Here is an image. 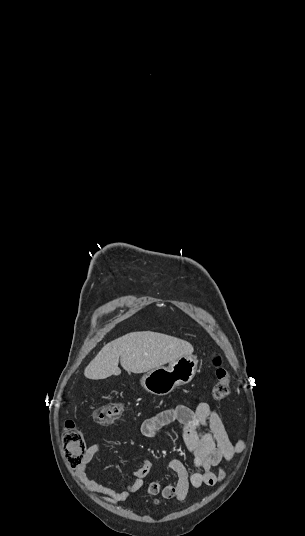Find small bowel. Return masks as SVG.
<instances>
[{
  "label": "small bowel",
  "instance_id": "small-bowel-1",
  "mask_svg": "<svg viewBox=\"0 0 305 536\" xmlns=\"http://www.w3.org/2000/svg\"><path fill=\"white\" fill-rule=\"evenodd\" d=\"M174 422L182 425L185 444L194 457L195 465L201 469L200 472L189 474L182 461L171 459L167 462V467L176 474V484L163 486L159 482H151L144 486V478L152 466L151 459L144 457L132 473L134 482L125 490L118 491L87 475L93 458L102 449L101 445L95 444L85 450L76 468L87 490L99 495L106 503L118 504L143 490L149 496L179 495L180 501H184L191 487L199 489L215 486L225 475L221 463L239 452L242 444H232L218 409H212L206 402H200L194 407L178 405L165 409L145 419L141 433L147 438H154L162 428ZM212 468H218V472L214 473Z\"/></svg>",
  "mask_w": 305,
  "mask_h": 536
}]
</instances>
